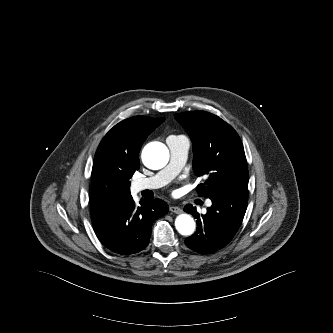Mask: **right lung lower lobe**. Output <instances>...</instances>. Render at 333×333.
Instances as JSON below:
<instances>
[{
  "mask_svg": "<svg viewBox=\"0 0 333 333\" xmlns=\"http://www.w3.org/2000/svg\"><path fill=\"white\" fill-rule=\"evenodd\" d=\"M169 210L160 199L140 201L136 206L132 196L91 207L94 231L100 242L119 254L128 255L143 250L149 243L153 222Z\"/></svg>",
  "mask_w": 333,
  "mask_h": 333,
  "instance_id": "obj_1",
  "label": "right lung lower lobe"
}]
</instances>
